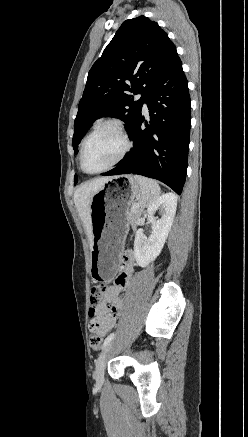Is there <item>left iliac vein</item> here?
<instances>
[{"instance_id":"4c4485c4","label":"left iliac vein","mask_w":248,"mask_h":437,"mask_svg":"<svg viewBox=\"0 0 248 437\" xmlns=\"http://www.w3.org/2000/svg\"><path fill=\"white\" fill-rule=\"evenodd\" d=\"M114 342H109L102 352L100 353L99 357L96 360V368L94 371V378L96 380V383L98 385H101L104 381V370H105V364L107 357L109 353L111 352V349L113 347Z\"/></svg>"}]
</instances>
